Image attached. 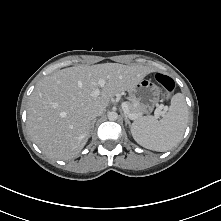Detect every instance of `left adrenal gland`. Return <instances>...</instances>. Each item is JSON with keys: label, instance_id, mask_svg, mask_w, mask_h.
Listing matches in <instances>:
<instances>
[{"label": "left adrenal gland", "instance_id": "left-adrenal-gland-1", "mask_svg": "<svg viewBox=\"0 0 221 221\" xmlns=\"http://www.w3.org/2000/svg\"><path fill=\"white\" fill-rule=\"evenodd\" d=\"M124 119H125V125H130V120L128 119V117L124 114Z\"/></svg>", "mask_w": 221, "mask_h": 221}]
</instances>
